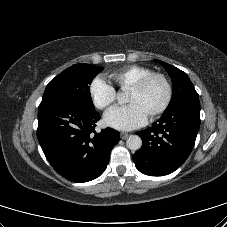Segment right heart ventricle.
Returning a JSON list of instances; mask_svg holds the SVG:
<instances>
[{"mask_svg": "<svg viewBox=\"0 0 227 227\" xmlns=\"http://www.w3.org/2000/svg\"><path fill=\"white\" fill-rule=\"evenodd\" d=\"M152 72V69L145 66L130 65L112 72L110 77L120 89H128L141 78Z\"/></svg>", "mask_w": 227, "mask_h": 227, "instance_id": "right-heart-ventricle-1", "label": "right heart ventricle"}]
</instances>
